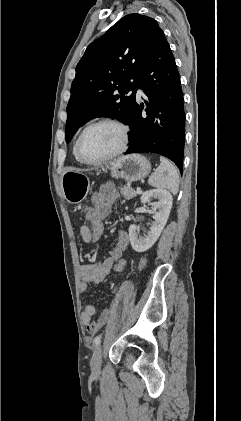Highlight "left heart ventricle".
Returning a JSON list of instances; mask_svg holds the SVG:
<instances>
[{"label":"left heart ventricle","mask_w":241,"mask_h":421,"mask_svg":"<svg viewBox=\"0 0 241 421\" xmlns=\"http://www.w3.org/2000/svg\"><path fill=\"white\" fill-rule=\"evenodd\" d=\"M120 142L121 133L117 127L101 124L87 131L81 149L85 158L97 160L116 150Z\"/></svg>","instance_id":"obj_1"}]
</instances>
